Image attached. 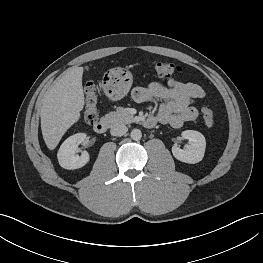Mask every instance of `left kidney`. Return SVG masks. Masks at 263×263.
I'll return each instance as SVG.
<instances>
[{
  "mask_svg": "<svg viewBox=\"0 0 263 263\" xmlns=\"http://www.w3.org/2000/svg\"><path fill=\"white\" fill-rule=\"evenodd\" d=\"M183 139L189 141L184 149L179 148L177 145L172 147L174 157L182 162L195 164L200 162L205 153L206 140L205 137L198 131L185 130L181 133Z\"/></svg>",
  "mask_w": 263,
  "mask_h": 263,
  "instance_id": "obj_1",
  "label": "left kidney"
}]
</instances>
